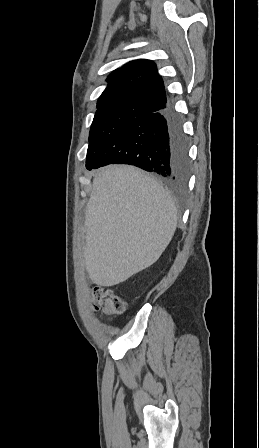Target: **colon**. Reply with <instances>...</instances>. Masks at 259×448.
Instances as JSON below:
<instances>
[{
    "label": "colon",
    "mask_w": 259,
    "mask_h": 448,
    "mask_svg": "<svg viewBox=\"0 0 259 448\" xmlns=\"http://www.w3.org/2000/svg\"><path fill=\"white\" fill-rule=\"evenodd\" d=\"M91 299L94 308L106 316L121 315L127 308L126 303L110 290L94 288L91 291Z\"/></svg>",
    "instance_id": "obj_1"
}]
</instances>
